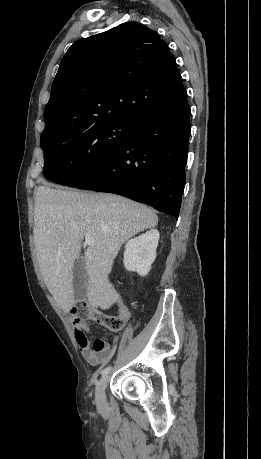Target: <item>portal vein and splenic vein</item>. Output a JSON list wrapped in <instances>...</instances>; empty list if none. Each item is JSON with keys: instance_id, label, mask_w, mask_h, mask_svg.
<instances>
[{"instance_id": "obj_1", "label": "portal vein and splenic vein", "mask_w": 261, "mask_h": 459, "mask_svg": "<svg viewBox=\"0 0 261 459\" xmlns=\"http://www.w3.org/2000/svg\"><path fill=\"white\" fill-rule=\"evenodd\" d=\"M85 244L87 245H93L94 244V240L91 236V234L89 232H86L85 234Z\"/></svg>"}]
</instances>
